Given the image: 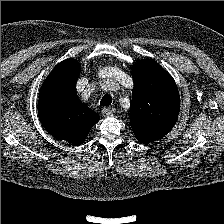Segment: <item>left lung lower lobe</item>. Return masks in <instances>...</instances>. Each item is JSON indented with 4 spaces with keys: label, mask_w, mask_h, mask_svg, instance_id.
Wrapping results in <instances>:
<instances>
[{
    "label": "left lung lower lobe",
    "mask_w": 224,
    "mask_h": 224,
    "mask_svg": "<svg viewBox=\"0 0 224 224\" xmlns=\"http://www.w3.org/2000/svg\"><path fill=\"white\" fill-rule=\"evenodd\" d=\"M135 137L137 138V140L140 143H149V141H147L145 138H143L141 135H135Z\"/></svg>",
    "instance_id": "obj_1"
}]
</instances>
